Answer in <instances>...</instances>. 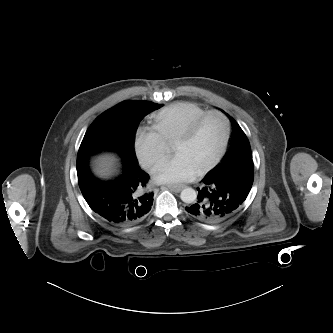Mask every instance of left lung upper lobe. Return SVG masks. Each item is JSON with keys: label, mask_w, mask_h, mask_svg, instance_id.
<instances>
[{"label": "left lung upper lobe", "mask_w": 333, "mask_h": 333, "mask_svg": "<svg viewBox=\"0 0 333 333\" xmlns=\"http://www.w3.org/2000/svg\"><path fill=\"white\" fill-rule=\"evenodd\" d=\"M233 127L231 145L222 161L207 174L216 176L232 167H248L254 169L249 141L238 123L229 117Z\"/></svg>", "instance_id": "left-lung-upper-lobe-1"}]
</instances>
